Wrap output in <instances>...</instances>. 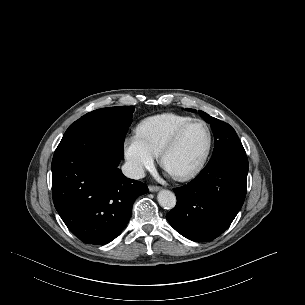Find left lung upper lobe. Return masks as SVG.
Listing matches in <instances>:
<instances>
[{
	"label": "left lung upper lobe",
	"mask_w": 305,
	"mask_h": 305,
	"mask_svg": "<svg viewBox=\"0 0 305 305\" xmlns=\"http://www.w3.org/2000/svg\"><path fill=\"white\" fill-rule=\"evenodd\" d=\"M195 112L194 109H187ZM201 117L211 124L215 143L212 157L209 162L214 161L230 152H245L235 130L227 123L211 117L203 111H199Z\"/></svg>",
	"instance_id": "5c2ea615"
}]
</instances>
